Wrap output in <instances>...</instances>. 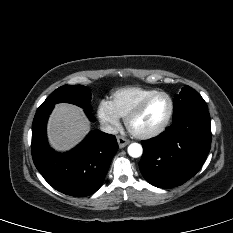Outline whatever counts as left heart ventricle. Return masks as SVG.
<instances>
[{"mask_svg": "<svg viewBox=\"0 0 233 233\" xmlns=\"http://www.w3.org/2000/svg\"><path fill=\"white\" fill-rule=\"evenodd\" d=\"M169 112V100L160 95L151 100L145 109L132 121V128L137 132H150L157 129Z\"/></svg>", "mask_w": 233, "mask_h": 233, "instance_id": "obj_1", "label": "left heart ventricle"}]
</instances>
